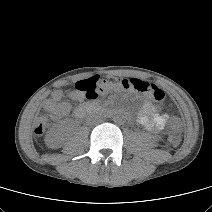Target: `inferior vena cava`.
I'll use <instances>...</instances> for the list:
<instances>
[{"instance_id": "1", "label": "inferior vena cava", "mask_w": 212, "mask_h": 212, "mask_svg": "<svg viewBox=\"0 0 212 212\" xmlns=\"http://www.w3.org/2000/svg\"><path fill=\"white\" fill-rule=\"evenodd\" d=\"M86 122L89 123V124H93V123L99 122V120H98L97 117L88 116L86 118Z\"/></svg>"}]
</instances>
